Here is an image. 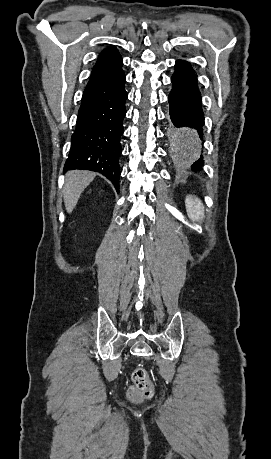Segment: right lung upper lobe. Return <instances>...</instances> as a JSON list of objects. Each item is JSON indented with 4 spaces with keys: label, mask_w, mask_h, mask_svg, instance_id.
Wrapping results in <instances>:
<instances>
[{
    "label": "right lung upper lobe",
    "mask_w": 271,
    "mask_h": 459,
    "mask_svg": "<svg viewBox=\"0 0 271 459\" xmlns=\"http://www.w3.org/2000/svg\"><path fill=\"white\" fill-rule=\"evenodd\" d=\"M123 60L118 50L110 46L102 51L93 68L89 82L96 81L107 75L122 71Z\"/></svg>",
    "instance_id": "obj_1"
}]
</instances>
